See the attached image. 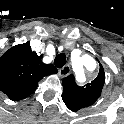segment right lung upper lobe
Segmentation results:
<instances>
[{"instance_id": "1", "label": "right lung upper lobe", "mask_w": 124, "mask_h": 124, "mask_svg": "<svg viewBox=\"0 0 124 124\" xmlns=\"http://www.w3.org/2000/svg\"><path fill=\"white\" fill-rule=\"evenodd\" d=\"M54 73L57 69L44 64L42 55L33 52L28 43L19 44L0 58V90L11 100L24 99L36 90L44 76Z\"/></svg>"}]
</instances>
